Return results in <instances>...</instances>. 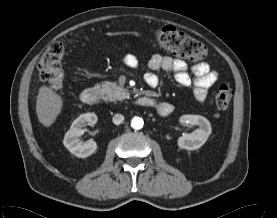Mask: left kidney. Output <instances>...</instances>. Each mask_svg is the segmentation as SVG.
<instances>
[{
	"label": "left kidney",
	"mask_w": 277,
	"mask_h": 218,
	"mask_svg": "<svg viewBox=\"0 0 277 218\" xmlns=\"http://www.w3.org/2000/svg\"><path fill=\"white\" fill-rule=\"evenodd\" d=\"M181 124H193L198 128L191 134H185L178 138V146L186 150H196L200 148L208 139L212 132L211 124L203 116L187 114L179 118Z\"/></svg>",
	"instance_id": "5707ae66"
}]
</instances>
